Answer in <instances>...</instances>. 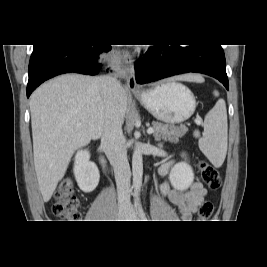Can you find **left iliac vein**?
Segmentation results:
<instances>
[{"label":"left iliac vein","instance_id":"obj_1","mask_svg":"<svg viewBox=\"0 0 267 267\" xmlns=\"http://www.w3.org/2000/svg\"><path fill=\"white\" fill-rule=\"evenodd\" d=\"M128 218L130 220H133V221H138L139 220V217H138L137 213L135 212V210L133 208H131L129 210V216H128Z\"/></svg>","mask_w":267,"mask_h":267}]
</instances>
